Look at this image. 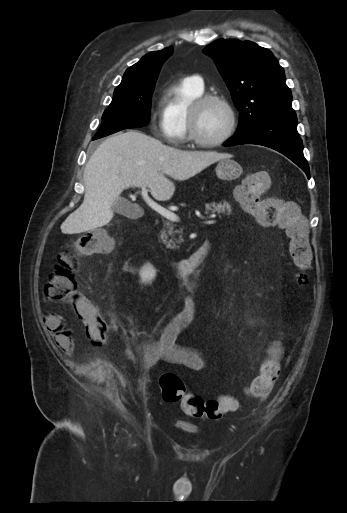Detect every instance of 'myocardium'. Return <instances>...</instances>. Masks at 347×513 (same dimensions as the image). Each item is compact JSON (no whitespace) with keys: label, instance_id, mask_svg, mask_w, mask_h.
<instances>
[{"label":"myocardium","instance_id":"myocardium-1","mask_svg":"<svg viewBox=\"0 0 347 513\" xmlns=\"http://www.w3.org/2000/svg\"><path fill=\"white\" fill-rule=\"evenodd\" d=\"M210 102H216L221 104L227 111L229 117V123L224 134L215 140L203 139L197 131V114L199 110ZM237 125L236 111L232 104L227 98L218 94L205 93L194 99L189 108L187 114V129L188 138L198 146L205 148H214L224 144L234 134Z\"/></svg>","mask_w":347,"mask_h":513}]
</instances>
